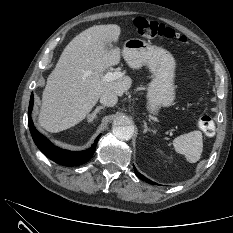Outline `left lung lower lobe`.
<instances>
[{
	"mask_svg": "<svg viewBox=\"0 0 233 233\" xmlns=\"http://www.w3.org/2000/svg\"><path fill=\"white\" fill-rule=\"evenodd\" d=\"M134 170H135L136 175H137L140 179L145 180V181H147L148 183L155 184V183H153L152 181L146 179L142 174H140V173L136 170L135 167H134Z\"/></svg>",
	"mask_w": 233,
	"mask_h": 233,
	"instance_id": "1",
	"label": "left lung lower lobe"
}]
</instances>
